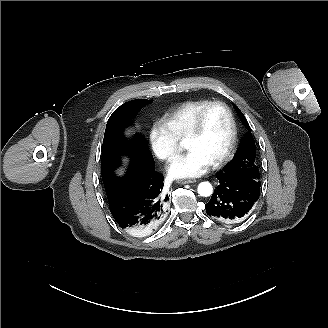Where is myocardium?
I'll list each match as a JSON object with an SVG mask.
<instances>
[{"label": "myocardium", "instance_id": "f54148a6", "mask_svg": "<svg viewBox=\"0 0 328 328\" xmlns=\"http://www.w3.org/2000/svg\"><path fill=\"white\" fill-rule=\"evenodd\" d=\"M215 107H221L225 109V111L228 113L232 125V136L227 150L218 160H216L211 164L212 167L218 168L224 165L225 163H227L232 158L238 144V124L234 111L229 104L223 101H212L209 104H207L204 108H202L200 112L197 114V116L195 117L193 124L187 131L183 142H186L196 137L200 133L208 112Z\"/></svg>", "mask_w": 328, "mask_h": 328}]
</instances>
